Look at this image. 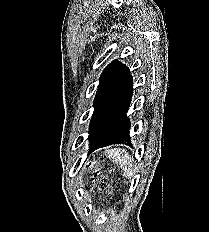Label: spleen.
Wrapping results in <instances>:
<instances>
[{
	"label": "spleen",
	"mask_w": 209,
	"mask_h": 232,
	"mask_svg": "<svg viewBox=\"0 0 209 232\" xmlns=\"http://www.w3.org/2000/svg\"><path fill=\"white\" fill-rule=\"evenodd\" d=\"M107 157L123 170V175L131 179L134 176L133 159L125 149L105 150Z\"/></svg>",
	"instance_id": "3e777b00"
}]
</instances>
